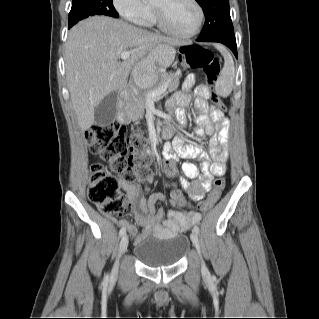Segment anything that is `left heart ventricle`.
I'll list each match as a JSON object with an SVG mask.
<instances>
[{"label":"left heart ventricle","instance_id":"b2bd125f","mask_svg":"<svg viewBox=\"0 0 319 319\" xmlns=\"http://www.w3.org/2000/svg\"><path fill=\"white\" fill-rule=\"evenodd\" d=\"M152 5L163 10L167 24L180 33H188L195 27L197 10L189 0H154Z\"/></svg>","mask_w":319,"mask_h":319}]
</instances>
